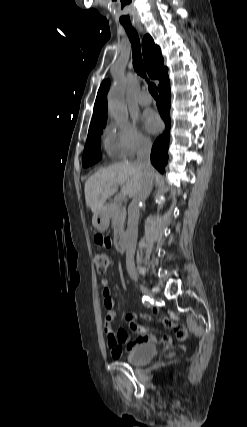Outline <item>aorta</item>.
I'll return each mask as SVG.
<instances>
[{"label":"aorta","mask_w":247,"mask_h":427,"mask_svg":"<svg viewBox=\"0 0 247 427\" xmlns=\"http://www.w3.org/2000/svg\"><path fill=\"white\" fill-rule=\"evenodd\" d=\"M126 86L122 77L118 78L108 94V110L110 116L117 122L128 121V111L125 105Z\"/></svg>","instance_id":"aorta-1"}]
</instances>
